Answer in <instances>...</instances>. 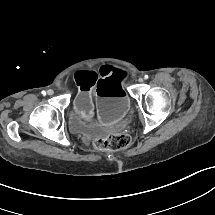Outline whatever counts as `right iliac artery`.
Returning <instances> with one entry per match:
<instances>
[{"mask_svg": "<svg viewBox=\"0 0 215 215\" xmlns=\"http://www.w3.org/2000/svg\"><path fill=\"white\" fill-rule=\"evenodd\" d=\"M42 94L45 96V95H46V92H45V91H42Z\"/></svg>", "mask_w": 215, "mask_h": 215, "instance_id": "82829eb1", "label": "right iliac artery"}]
</instances>
